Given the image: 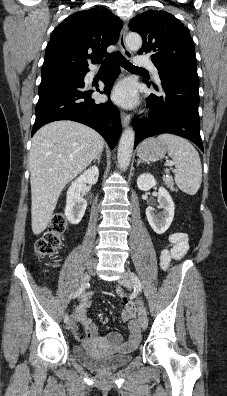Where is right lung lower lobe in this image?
Returning a JSON list of instances; mask_svg holds the SVG:
<instances>
[{"mask_svg":"<svg viewBox=\"0 0 227 396\" xmlns=\"http://www.w3.org/2000/svg\"><path fill=\"white\" fill-rule=\"evenodd\" d=\"M84 75H57L43 78L39 86L36 119L32 135L43 125L57 120L83 123L100 133L113 149L121 133L120 113L111 101L96 104L90 97L93 90L85 88ZM120 69L114 65L102 79L109 95Z\"/></svg>","mask_w":227,"mask_h":396,"instance_id":"98d812e1","label":"right lung lower lobe"}]
</instances>
